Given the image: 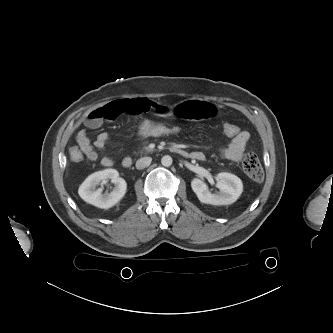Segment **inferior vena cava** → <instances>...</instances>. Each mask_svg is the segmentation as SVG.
Returning <instances> with one entry per match:
<instances>
[{
	"label": "inferior vena cava",
	"instance_id": "602c4592",
	"mask_svg": "<svg viewBox=\"0 0 333 333\" xmlns=\"http://www.w3.org/2000/svg\"><path fill=\"white\" fill-rule=\"evenodd\" d=\"M151 161H152L151 157L140 158L136 162V168L139 170L144 169L145 167L150 165Z\"/></svg>",
	"mask_w": 333,
	"mask_h": 333
}]
</instances>
